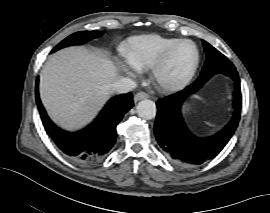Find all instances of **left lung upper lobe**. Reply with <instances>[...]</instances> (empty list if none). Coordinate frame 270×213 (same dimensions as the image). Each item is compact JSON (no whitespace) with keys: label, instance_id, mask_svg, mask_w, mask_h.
Segmentation results:
<instances>
[{"label":"left lung upper lobe","instance_id":"left-lung-upper-lobe-1","mask_svg":"<svg viewBox=\"0 0 270 213\" xmlns=\"http://www.w3.org/2000/svg\"><path fill=\"white\" fill-rule=\"evenodd\" d=\"M204 45V50L206 52V62L200 76L195 81L196 83L202 82L215 75L218 72H223L234 65L217 49L211 46L206 41H202Z\"/></svg>","mask_w":270,"mask_h":213}]
</instances>
